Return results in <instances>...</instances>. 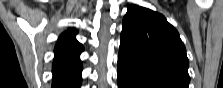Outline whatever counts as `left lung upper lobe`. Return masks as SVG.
Listing matches in <instances>:
<instances>
[{"instance_id":"5c2ea615","label":"left lung upper lobe","mask_w":223,"mask_h":88,"mask_svg":"<svg viewBox=\"0 0 223 88\" xmlns=\"http://www.w3.org/2000/svg\"><path fill=\"white\" fill-rule=\"evenodd\" d=\"M122 25L118 65L149 83L188 88L186 48L177 30L162 14L131 5Z\"/></svg>"}]
</instances>
